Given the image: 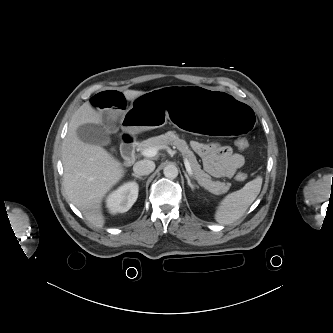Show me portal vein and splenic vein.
<instances>
[{"label":"portal vein and splenic vein","instance_id":"portal-vein-and-splenic-vein-1","mask_svg":"<svg viewBox=\"0 0 333 333\" xmlns=\"http://www.w3.org/2000/svg\"><path fill=\"white\" fill-rule=\"evenodd\" d=\"M158 150H159L158 147H149V148H146L142 152V155L145 156V157H153L157 154ZM184 165H185L187 173L190 176H193V171H192V168H191V164H190L189 160L185 157H184Z\"/></svg>","mask_w":333,"mask_h":333}]
</instances>
